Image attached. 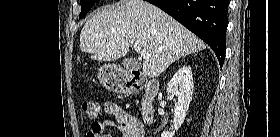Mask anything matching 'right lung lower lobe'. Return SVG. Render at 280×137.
Returning a JSON list of instances; mask_svg holds the SVG:
<instances>
[{"mask_svg": "<svg viewBox=\"0 0 280 137\" xmlns=\"http://www.w3.org/2000/svg\"><path fill=\"white\" fill-rule=\"evenodd\" d=\"M200 37L215 52L220 66L225 57L227 0H146Z\"/></svg>", "mask_w": 280, "mask_h": 137, "instance_id": "1", "label": "right lung lower lobe"}]
</instances>
